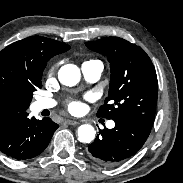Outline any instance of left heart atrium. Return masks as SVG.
Segmentation results:
<instances>
[{
  "label": "left heart atrium",
  "instance_id": "1",
  "mask_svg": "<svg viewBox=\"0 0 183 183\" xmlns=\"http://www.w3.org/2000/svg\"><path fill=\"white\" fill-rule=\"evenodd\" d=\"M82 109V104L78 100H72L68 103V110L70 112L76 113Z\"/></svg>",
  "mask_w": 183,
  "mask_h": 183
}]
</instances>
